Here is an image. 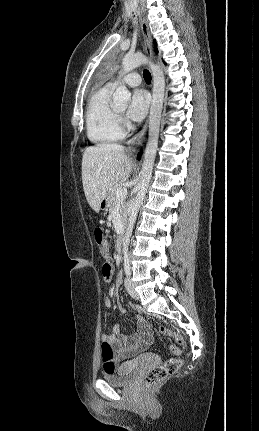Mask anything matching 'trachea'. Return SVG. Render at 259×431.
I'll return each mask as SVG.
<instances>
[{"label":"trachea","instance_id":"obj_1","mask_svg":"<svg viewBox=\"0 0 259 431\" xmlns=\"http://www.w3.org/2000/svg\"><path fill=\"white\" fill-rule=\"evenodd\" d=\"M143 77L146 83H151V73L148 70H144Z\"/></svg>","mask_w":259,"mask_h":431}]
</instances>
